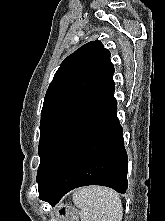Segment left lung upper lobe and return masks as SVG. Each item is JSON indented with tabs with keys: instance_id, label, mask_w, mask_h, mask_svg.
<instances>
[{
	"instance_id": "obj_1",
	"label": "left lung upper lobe",
	"mask_w": 165,
	"mask_h": 221,
	"mask_svg": "<svg viewBox=\"0 0 165 221\" xmlns=\"http://www.w3.org/2000/svg\"><path fill=\"white\" fill-rule=\"evenodd\" d=\"M113 74L110 52L100 41L83 45L62 62L41 111L37 182L58 142L112 88Z\"/></svg>"
}]
</instances>
